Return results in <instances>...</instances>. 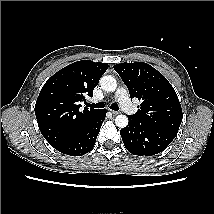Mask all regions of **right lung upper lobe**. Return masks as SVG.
Returning a JSON list of instances; mask_svg holds the SVG:
<instances>
[{
    "mask_svg": "<svg viewBox=\"0 0 214 214\" xmlns=\"http://www.w3.org/2000/svg\"><path fill=\"white\" fill-rule=\"evenodd\" d=\"M108 69L107 63L82 60L74 62L50 77L42 87L35 105L42 135L56 147L70 138L100 110L81 109L86 96Z\"/></svg>",
    "mask_w": 214,
    "mask_h": 214,
    "instance_id": "cb5924a9",
    "label": "right lung upper lobe"
}]
</instances>
